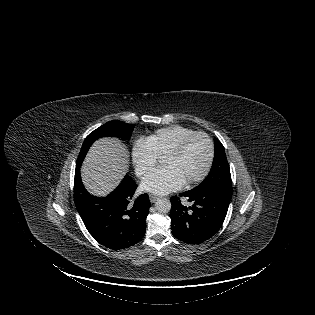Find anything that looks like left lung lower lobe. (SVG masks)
<instances>
[{
  "label": "left lung lower lobe",
  "instance_id": "0a47b994",
  "mask_svg": "<svg viewBox=\"0 0 315 315\" xmlns=\"http://www.w3.org/2000/svg\"><path fill=\"white\" fill-rule=\"evenodd\" d=\"M179 195L188 197L192 206H183L179 197L170 199L172 234L189 244L201 243L211 238L224 222L232 192L196 187Z\"/></svg>",
  "mask_w": 315,
  "mask_h": 315
}]
</instances>
